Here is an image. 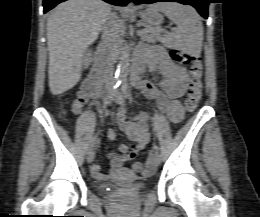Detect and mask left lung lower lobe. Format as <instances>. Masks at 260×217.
<instances>
[{"mask_svg":"<svg viewBox=\"0 0 260 217\" xmlns=\"http://www.w3.org/2000/svg\"><path fill=\"white\" fill-rule=\"evenodd\" d=\"M136 4H151L155 2H179L195 7L205 19L208 17V4L210 0H131Z\"/></svg>","mask_w":260,"mask_h":217,"instance_id":"0a47b994","label":"left lung lower lobe"}]
</instances>
